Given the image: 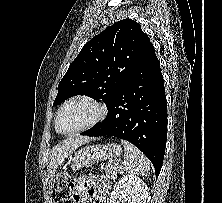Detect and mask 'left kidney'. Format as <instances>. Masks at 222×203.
I'll use <instances>...</instances> for the list:
<instances>
[{
	"label": "left kidney",
	"instance_id": "5707ae66",
	"mask_svg": "<svg viewBox=\"0 0 222 203\" xmlns=\"http://www.w3.org/2000/svg\"><path fill=\"white\" fill-rule=\"evenodd\" d=\"M148 186L135 175H124L115 184L110 203H146Z\"/></svg>",
	"mask_w": 222,
	"mask_h": 203
}]
</instances>
